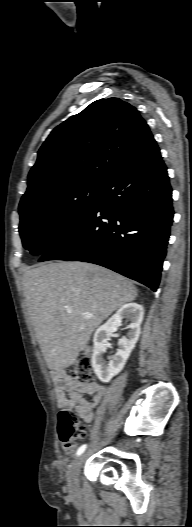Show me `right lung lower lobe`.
Wrapping results in <instances>:
<instances>
[{"instance_id":"right-lung-lower-lobe-1","label":"right lung lower lobe","mask_w":192,"mask_h":527,"mask_svg":"<svg viewBox=\"0 0 192 527\" xmlns=\"http://www.w3.org/2000/svg\"><path fill=\"white\" fill-rule=\"evenodd\" d=\"M171 194L167 168L152 140L104 185L83 221L39 261L98 264L156 291L174 214Z\"/></svg>"}]
</instances>
